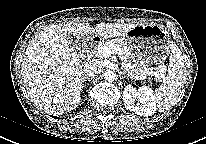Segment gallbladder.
I'll use <instances>...</instances> for the list:
<instances>
[{"label":"gallbladder","mask_w":206,"mask_h":144,"mask_svg":"<svg viewBox=\"0 0 206 144\" xmlns=\"http://www.w3.org/2000/svg\"><path fill=\"white\" fill-rule=\"evenodd\" d=\"M67 41L72 44L73 43V36L71 34H67ZM74 44V43H73Z\"/></svg>","instance_id":"1"}]
</instances>
